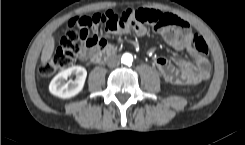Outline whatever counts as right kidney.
I'll use <instances>...</instances> for the list:
<instances>
[{"mask_svg":"<svg viewBox=\"0 0 245 145\" xmlns=\"http://www.w3.org/2000/svg\"><path fill=\"white\" fill-rule=\"evenodd\" d=\"M74 75V80L67 79ZM87 71L81 66H72L58 73L49 84V91L59 98H71L80 93L84 87Z\"/></svg>","mask_w":245,"mask_h":145,"instance_id":"obj_1","label":"right kidney"}]
</instances>
